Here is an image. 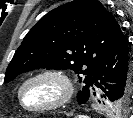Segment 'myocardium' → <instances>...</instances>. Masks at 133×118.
Instances as JSON below:
<instances>
[{"label":"myocardium","instance_id":"f54148a6","mask_svg":"<svg viewBox=\"0 0 133 118\" xmlns=\"http://www.w3.org/2000/svg\"><path fill=\"white\" fill-rule=\"evenodd\" d=\"M41 78L49 79L56 82L61 89L60 96L58 97V99H56L51 103L36 107H28L25 105L23 100V91L31 81ZM74 92H75L74 84L68 73L58 68H45L34 71L23 79L18 88L17 98L19 104L24 110L32 113H42V112L56 110L58 108L65 106L73 98Z\"/></svg>","mask_w":133,"mask_h":118}]
</instances>
